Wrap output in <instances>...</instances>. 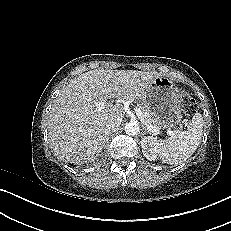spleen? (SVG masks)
I'll use <instances>...</instances> for the list:
<instances>
[{
  "instance_id": "spleen-1",
  "label": "spleen",
  "mask_w": 231,
  "mask_h": 231,
  "mask_svg": "<svg viewBox=\"0 0 231 231\" xmlns=\"http://www.w3.org/2000/svg\"><path fill=\"white\" fill-rule=\"evenodd\" d=\"M202 134L203 117L200 113H196L188 123L186 130L159 142V158L170 165L187 160L198 148Z\"/></svg>"
}]
</instances>
